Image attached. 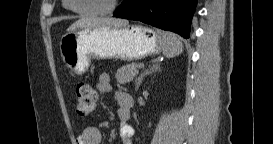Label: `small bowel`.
Returning a JSON list of instances; mask_svg holds the SVG:
<instances>
[{
	"mask_svg": "<svg viewBox=\"0 0 273 144\" xmlns=\"http://www.w3.org/2000/svg\"><path fill=\"white\" fill-rule=\"evenodd\" d=\"M111 78L108 73H102L98 78V89L101 92L110 90ZM126 96L124 93L116 94L118 105V116L121 119L120 138L124 144H131L133 137V127L128 123L127 110L122 106L121 100ZM102 140L101 132L96 127H86L75 139V144H100Z\"/></svg>",
	"mask_w": 273,
	"mask_h": 144,
	"instance_id": "1",
	"label": "small bowel"
}]
</instances>
